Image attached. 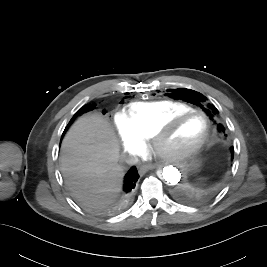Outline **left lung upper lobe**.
Here are the masks:
<instances>
[{
    "label": "left lung upper lobe",
    "instance_id": "left-lung-upper-lobe-1",
    "mask_svg": "<svg viewBox=\"0 0 267 267\" xmlns=\"http://www.w3.org/2000/svg\"><path fill=\"white\" fill-rule=\"evenodd\" d=\"M168 92L169 93H167L166 95L173 99H180L200 106L211 118L218 113V110L215 108L214 105L205 104L206 97L199 92L186 88H179L175 90L169 89ZM218 131L220 133L225 132V129L221 124H218Z\"/></svg>",
    "mask_w": 267,
    "mask_h": 267
}]
</instances>
